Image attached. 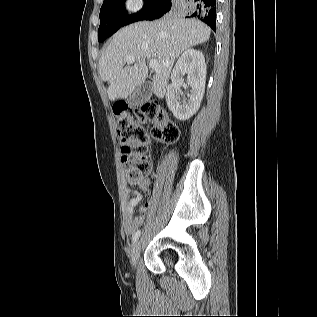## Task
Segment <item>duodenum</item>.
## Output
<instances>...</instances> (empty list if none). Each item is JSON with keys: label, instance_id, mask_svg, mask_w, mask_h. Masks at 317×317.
<instances>
[{"label": "duodenum", "instance_id": "obj_1", "mask_svg": "<svg viewBox=\"0 0 317 317\" xmlns=\"http://www.w3.org/2000/svg\"><path fill=\"white\" fill-rule=\"evenodd\" d=\"M142 106H145V103H142Z\"/></svg>", "mask_w": 317, "mask_h": 317}]
</instances>
